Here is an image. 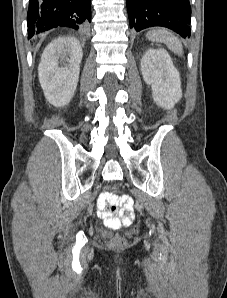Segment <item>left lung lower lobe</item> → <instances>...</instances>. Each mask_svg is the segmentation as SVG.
<instances>
[{
	"instance_id": "1",
	"label": "left lung lower lobe",
	"mask_w": 227,
	"mask_h": 298,
	"mask_svg": "<svg viewBox=\"0 0 227 298\" xmlns=\"http://www.w3.org/2000/svg\"><path fill=\"white\" fill-rule=\"evenodd\" d=\"M130 28L141 31L163 26L182 37H190L191 8L189 0H126Z\"/></svg>"
}]
</instances>
